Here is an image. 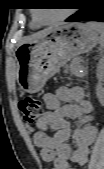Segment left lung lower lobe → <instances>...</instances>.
Here are the masks:
<instances>
[{
    "mask_svg": "<svg viewBox=\"0 0 104 169\" xmlns=\"http://www.w3.org/2000/svg\"><path fill=\"white\" fill-rule=\"evenodd\" d=\"M79 11L66 22L99 21L104 22V4L100 0H81Z\"/></svg>",
    "mask_w": 104,
    "mask_h": 169,
    "instance_id": "obj_1",
    "label": "left lung lower lobe"
}]
</instances>
